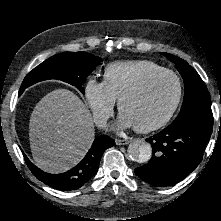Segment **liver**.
<instances>
[{
	"instance_id": "obj_1",
	"label": "liver",
	"mask_w": 221,
	"mask_h": 221,
	"mask_svg": "<svg viewBox=\"0 0 221 221\" xmlns=\"http://www.w3.org/2000/svg\"><path fill=\"white\" fill-rule=\"evenodd\" d=\"M90 111L73 92L56 89L35 106L29 140L35 164L45 172L62 173L85 156L95 136Z\"/></svg>"
}]
</instances>
